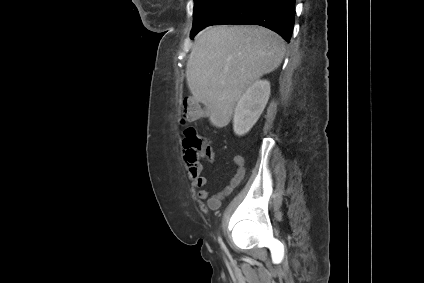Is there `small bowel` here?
<instances>
[{"label": "small bowel", "mask_w": 424, "mask_h": 283, "mask_svg": "<svg viewBox=\"0 0 424 283\" xmlns=\"http://www.w3.org/2000/svg\"><path fill=\"white\" fill-rule=\"evenodd\" d=\"M184 162L188 168L189 174L192 178L195 187L200 188L197 191V196L200 200L204 201L206 205L212 209H218L221 206L222 199L229 195L243 180L245 174V161L240 155L233 158L235 164V172L230 180V183L216 195H211L207 189L203 187L207 184V177L203 173V166L198 161H193L189 158L188 153L183 156Z\"/></svg>", "instance_id": "obj_1"}]
</instances>
